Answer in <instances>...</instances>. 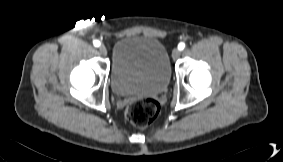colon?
Returning a JSON list of instances; mask_svg holds the SVG:
<instances>
[{
	"label": "colon",
	"mask_w": 283,
	"mask_h": 162,
	"mask_svg": "<svg viewBox=\"0 0 283 162\" xmlns=\"http://www.w3.org/2000/svg\"><path fill=\"white\" fill-rule=\"evenodd\" d=\"M160 106L151 98L132 100L125 111L126 119L137 128H145L157 118Z\"/></svg>",
	"instance_id": "colon-1"
}]
</instances>
